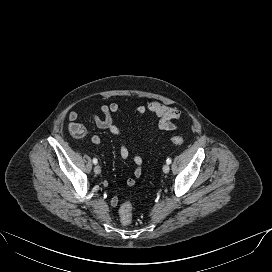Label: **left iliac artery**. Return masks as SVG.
I'll use <instances>...</instances> for the list:
<instances>
[{"mask_svg": "<svg viewBox=\"0 0 272 272\" xmlns=\"http://www.w3.org/2000/svg\"><path fill=\"white\" fill-rule=\"evenodd\" d=\"M171 162H172L171 158H168V159L166 160V163H167V164H171Z\"/></svg>", "mask_w": 272, "mask_h": 272, "instance_id": "left-iliac-artery-1", "label": "left iliac artery"}]
</instances>
